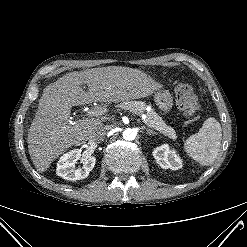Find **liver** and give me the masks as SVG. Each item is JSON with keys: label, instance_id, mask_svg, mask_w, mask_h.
Returning a JSON list of instances; mask_svg holds the SVG:
<instances>
[{"label": "liver", "instance_id": "1", "mask_svg": "<svg viewBox=\"0 0 247 247\" xmlns=\"http://www.w3.org/2000/svg\"><path fill=\"white\" fill-rule=\"evenodd\" d=\"M88 86V91L82 85ZM159 85L138 69L121 66L92 68L67 73L48 85L28 132V150L37 171L45 172L52 161L73 145L83 143L101 127L97 118L71 123L73 106L92 102L118 103L151 95Z\"/></svg>", "mask_w": 247, "mask_h": 247}]
</instances>
